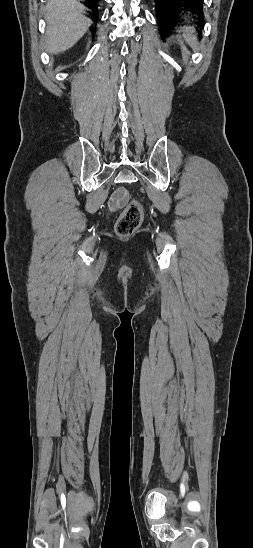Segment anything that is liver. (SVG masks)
Returning <instances> with one entry per match:
<instances>
[{
	"label": "liver",
	"mask_w": 253,
	"mask_h": 548,
	"mask_svg": "<svg viewBox=\"0 0 253 548\" xmlns=\"http://www.w3.org/2000/svg\"><path fill=\"white\" fill-rule=\"evenodd\" d=\"M85 7L76 0H49L45 19L46 50L51 54L64 52L74 46L87 32L92 21L83 15Z\"/></svg>",
	"instance_id": "obj_1"
}]
</instances>
